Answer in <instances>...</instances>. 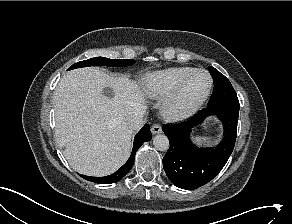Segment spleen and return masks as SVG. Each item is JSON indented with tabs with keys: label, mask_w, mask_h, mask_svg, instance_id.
<instances>
[{
	"label": "spleen",
	"mask_w": 292,
	"mask_h": 224,
	"mask_svg": "<svg viewBox=\"0 0 292 224\" xmlns=\"http://www.w3.org/2000/svg\"><path fill=\"white\" fill-rule=\"evenodd\" d=\"M193 141L197 143L199 146L202 145H210L216 142V139L212 136H195L192 137Z\"/></svg>",
	"instance_id": "obj_1"
}]
</instances>
